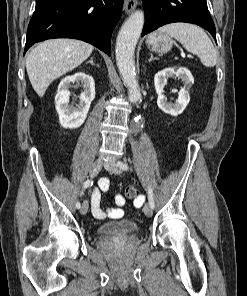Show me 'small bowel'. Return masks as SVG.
Instances as JSON below:
<instances>
[{
    "instance_id": "c3829d8e",
    "label": "small bowel",
    "mask_w": 247,
    "mask_h": 296,
    "mask_svg": "<svg viewBox=\"0 0 247 296\" xmlns=\"http://www.w3.org/2000/svg\"><path fill=\"white\" fill-rule=\"evenodd\" d=\"M110 186V181L107 178H102L99 181L98 187L93 189L90 195V203H91V212L94 217L98 219H104L107 216H110L112 218H117L121 215L122 211L120 209H107L103 210L101 207V195L103 192L108 191ZM144 197L139 196L133 201L134 207H140L144 203ZM115 203L117 205H124L125 199L121 194H117L115 196Z\"/></svg>"
}]
</instances>
